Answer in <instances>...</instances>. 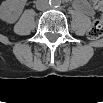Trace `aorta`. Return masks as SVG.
Returning a JSON list of instances; mask_svg holds the SVG:
<instances>
[{
    "label": "aorta",
    "instance_id": "aorta-1",
    "mask_svg": "<svg viewBox=\"0 0 103 103\" xmlns=\"http://www.w3.org/2000/svg\"><path fill=\"white\" fill-rule=\"evenodd\" d=\"M52 5H53V6H57V5H58V2H57V1H54V2H52Z\"/></svg>",
    "mask_w": 103,
    "mask_h": 103
}]
</instances>
